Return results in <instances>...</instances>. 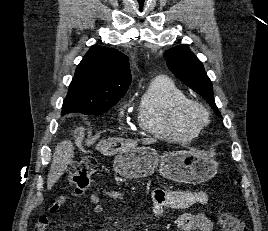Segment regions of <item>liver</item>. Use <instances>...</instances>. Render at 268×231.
<instances>
[{
	"label": "liver",
	"instance_id": "6515ba94",
	"mask_svg": "<svg viewBox=\"0 0 268 231\" xmlns=\"http://www.w3.org/2000/svg\"><path fill=\"white\" fill-rule=\"evenodd\" d=\"M80 132L82 129L79 130ZM77 134V132H75ZM78 143L80 142L79 136H77ZM139 140L126 139V138H108L107 140H101L97 149L105 155H112L121 150H127L135 148L138 145ZM144 144L153 143V139H143ZM117 143L121 144L119 149H113V146H116ZM74 157V147L73 143L69 140H64L57 144L55 147L53 160L50 166V171L47 176V188L51 190L53 185L59 180L63 175L64 171L67 169V166L72 163Z\"/></svg>",
	"mask_w": 268,
	"mask_h": 231
}]
</instances>
